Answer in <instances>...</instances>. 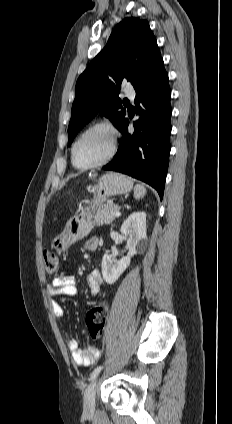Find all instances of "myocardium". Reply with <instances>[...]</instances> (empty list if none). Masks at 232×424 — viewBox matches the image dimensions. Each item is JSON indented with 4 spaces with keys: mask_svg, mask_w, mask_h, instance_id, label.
Returning a JSON list of instances; mask_svg holds the SVG:
<instances>
[{
    "mask_svg": "<svg viewBox=\"0 0 232 424\" xmlns=\"http://www.w3.org/2000/svg\"><path fill=\"white\" fill-rule=\"evenodd\" d=\"M96 129H102L105 130L106 132L109 133L110 137H111V147L109 152L99 161L86 165V166H80L76 163L75 160V151H76V147L78 145V143L80 142V140L89 132L96 130ZM118 149V131L117 129L110 123L107 122H97L92 124L91 126H89L88 128H86L78 137L77 139L74 141L72 148H71V161L72 164L74 165L75 168L79 169V170H89V169H93V168H97L100 167L104 164H106L107 162H109L116 154Z\"/></svg>",
    "mask_w": 232,
    "mask_h": 424,
    "instance_id": "1",
    "label": "myocardium"
}]
</instances>
